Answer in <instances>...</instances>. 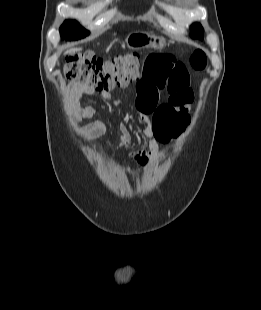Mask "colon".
I'll return each instance as SVG.
<instances>
[{
  "mask_svg": "<svg viewBox=\"0 0 261 310\" xmlns=\"http://www.w3.org/2000/svg\"><path fill=\"white\" fill-rule=\"evenodd\" d=\"M144 63L145 60L137 54L103 60L91 53H78L67 57L64 76L72 83L90 86L99 93L108 92L127 87L134 81L139 84V69ZM190 65L196 71L204 70L207 66L205 52L195 50L190 57Z\"/></svg>",
  "mask_w": 261,
  "mask_h": 310,
  "instance_id": "obj_1",
  "label": "colon"
}]
</instances>
